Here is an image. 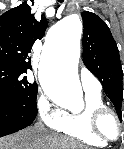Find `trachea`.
Instances as JSON below:
<instances>
[{
  "instance_id": "trachea-1",
  "label": "trachea",
  "mask_w": 124,
  "mask_h": 149,
  "mask_svg": "<svg viewBox=\"0 0 124 149\" xmlns=\"http://www.w3.org/2000/svg\"><path fill=\"white\" fill-rule=\"evenodd\" d=\"M59 2H63V0H59Z\"/></svg>"
}]
</instances>
